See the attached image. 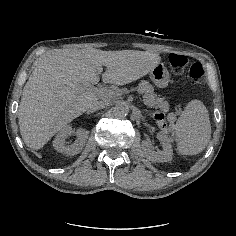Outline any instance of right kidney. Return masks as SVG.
<instances>
[{
    "mask_svg": "<svg viewBox=\"0 0 236 236\" xmlns=\"http://www.w3.org/2000/svg\"><path fill=\"white\" fill-rule=\"evenodd\" d=\"M72 132V127L67 125L56 135L53 141V147L58 152L73 156L79 154L82 151L88 139L89 131L81 128L77 129V140H75V142L71 145H65V139L68 138L72 134Z\"/></svg>",
    "mask_w": 236,
    "mask_h": 236,
    "instance_id": "ca27d5eb",
    "label": "right kidney"
}]
</instances>
